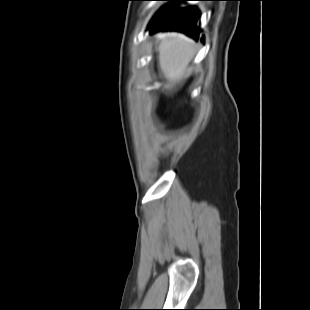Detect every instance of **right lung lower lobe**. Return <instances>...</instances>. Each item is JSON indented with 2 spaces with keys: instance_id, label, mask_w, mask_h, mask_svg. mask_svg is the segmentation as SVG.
<instances>
[{
  "instance_id": "98d812e1",
  "label": "right lung lower lobe",
  "mask_w": 310,
  "mask_h": 310,
  "mask_svg": "<svg viewBox=\"0 0 310 310\" xmlns=\"http://www.w3.org/2000/svg\"><path fill=\"white\" fill-rule=\"evenodd\" d=\"M183 2L187 0H167ZM199 15L192 7L180 8L177 4H171L163 8L152 20L151 31L156 30H178L188 34L195 39L199 37L197 27Z\"/></svg>"
}]
</instances>
